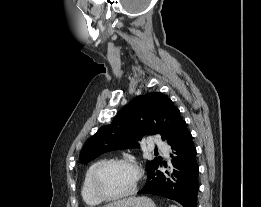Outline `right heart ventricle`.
I'll list each match as a JSON object with an SVG mask.
<instances>
[{"mask_svg":"<svg viewBox=\"0 0 261 207\" xmlns=\"http://www.w3.org/2000/svg\"><path fill=\"white\" fill-rule=\"evenodd\" d=\"M104 159H99L93 162L86 170L82 182L81 187V195L85 203L91 207L98 206L101 204L102 200L99 199L93 192L91 187V178L93 175L94 170L104 162Z\"/></svg>","mask_w":261,"mask_h":207,"instance_id":"right-heart-ventricle-1","label":"right heart ventricle"}]
</instances>
